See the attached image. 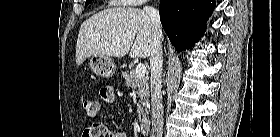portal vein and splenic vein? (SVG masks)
I'll return each mask as SVG.
<instances>
[{"instance_id":"18ae733b","label":"portal vein and splenic vein","mask_w":280,"mask_h":137,"mask_svg":"<svg viewBox=\"0 0 280 137\" xmlns=\"http://www.w3.org/2000/svg\"><path fill=\"white\" fill-rule=\"evenodd\" d=\"M145 73H146V67H145V65L139 63V64L136 66V69H135L136 77H137V78L144 77V76H145Z\"/></svg>"}]
</instances>
